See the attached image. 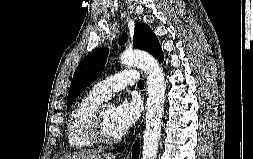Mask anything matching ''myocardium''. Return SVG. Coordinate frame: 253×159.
Segmentation results:
<instances>
[{"mask_svg": "<svg viewBox=\"0 0 253 159\" xmlns=\"http://www.w3.org/2000/svg\"><path fill=\"white\" fill-rule=\"evenodd\" d=\"M105 105H99L94 112L92 120L89 124V136L95 144L101 146H109L118 143L122 139V135L109 137L103 126V109Z\"/></svg>", "mask_w": 253, "mask_h": 159, "instance_id": "f54148a6", "label": "myocardium"}]
</instances>
